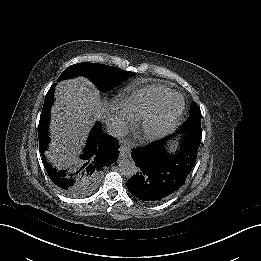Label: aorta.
<instances>
[{
  "instance_id": "obj_1",
  "label": "aorta",
  "mask_w": 261,
  "mask_h": 261,
  "mask_svg": "<svg viewBox=\"0 0 261 261\" xmlns=\"http://www.w3.org/2000/svg\"><path fill=\"white\" fill-rule=\"evenodd\" d=\"M118 166L122 175L126 178H133L139 172V168L131 158L122 157L118 161Z\"/></svg>"
}]
</instances>
